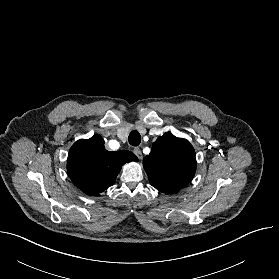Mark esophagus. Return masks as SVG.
Wrapping results in <instances>:
<instances>
[{
    "mask_svg": "<svg viewBox=\"0 0 279 279\" xmlns=\"http://www.w3.org/2000/svg\"><path fill=\"white\" fill-rule=\"evenodd\" d=\"M133 152L138 157V159L141 160L143 158L142 151H141V149L139 147H135Z\"/></svg>",
    "mask_w": 279,
    "mask_h": 279,
    "instance_id": "1",
    "label": "esophagus"
}]
</instances>
